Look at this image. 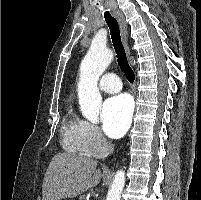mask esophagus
Returning a JSON list of instances; mask_svg holds the SVG:
<instances>
[{
    "label": "esophagus",
    "instance_id": "obj_1",
    "mask_svg": "<svg viewBox=\"0 0 201 200\" xmlns=\"http://www.w3.org/2000/svg\"><path fill=\"white\" fill-rule=\"evenodd\" d=\"M113 14L115 15V17L119 21L120 29H121V35H122V42H123V45L125 47L127 55L130 56V47H129L128 37H127V25L125 23L124 16L118 10H113Z\"/></svg>",
    "mask_w": 201,
    "mask_h": 200
}]
</instances>
